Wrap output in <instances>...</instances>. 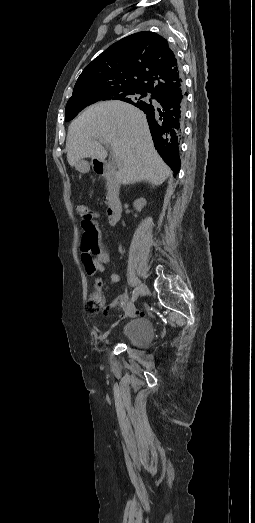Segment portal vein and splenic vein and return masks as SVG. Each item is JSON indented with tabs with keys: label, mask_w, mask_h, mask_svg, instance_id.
<instances>
[{
	"label": "portal vein and splenic vein",
	"mask_w": 255,
	"mask_h": 523,
	"mask_svg": "<svg viewBox=\"0 0 255 523\" xmlns=\"http://www.w3.org/2000/svg\"><path fill=\"white\" fill-rule=\"evenodd\" d=\"M114 162H116V163H115L114 170H115L116 172H119V171L121 170V168H122V163H121L122 160H121V158H118V156H116V158H114Z\"/></svg>",
	"instance_id": "obj_1"
}]
</instances>
